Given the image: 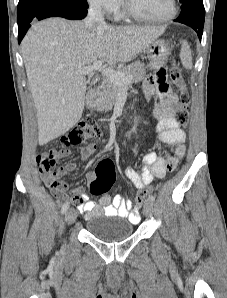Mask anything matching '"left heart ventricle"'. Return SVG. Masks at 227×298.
Here are the masks:
<instances>
[{"mask_svg": "<svg viewBox=\"0 0 227 298\" xmlns=\"http://www.w3.org/2000/svg\"><path fill=\"white\" fill-rule=\"evenodd\" d=\"M128 5L138 14L158 18L170 11V0H126Z\"/></svg>", "mask_w": 227, "mask_h": 298, "instance_id": "b2bd125f", "label": "left heart ventricle"}]
</instances>
